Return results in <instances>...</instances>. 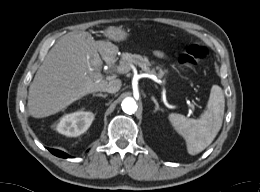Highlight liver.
Returning <instances> with one entry per match:
<instances>
[{"instance_id":"6515ba94","label":"liver","mask_w":260,"mask_h":192,"mask_svg":"<svg viewBox=\"0 0 260 192\" xmlns=\"http://www.w3.org/2000/svg\"><path fill=\"white\" fill-rule=\"evenodd\" d=\"M114 28L105 31L110 39ZM113 51L117 48L111 43L98 41L95 45L88 32L63 36L48 52L30 84V115L47 117L89 93L102 91L108 82L100 73L101 57L107 59Z\"/></svg>"}]
</instances>
